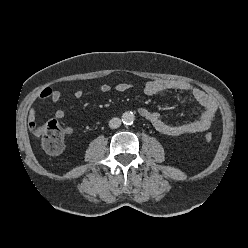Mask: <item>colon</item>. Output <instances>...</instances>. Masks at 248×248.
I'll return each mask as SVG.
<instances>
[{
    "label": "colon",
    "mask_w": 248,
    "mask_h": 248,
    "mask_svg": "<svg viewBox=\"0 0 248 248\" xmlns=\"http://www.w3.org/2000/svg\"><path fill=\"white\" fill-rule=\"evenodd\" d=\"M35 135L40 139L42 147L47 153L57 155L63 151L64 133L56 120H50L44 125L37 127ZM204 140L210 142L212 140V134H205Z\"/></svg>",
    "instance_id": "obj_1"
}]
</instances>
